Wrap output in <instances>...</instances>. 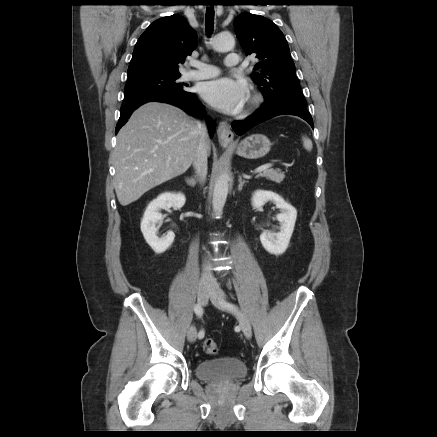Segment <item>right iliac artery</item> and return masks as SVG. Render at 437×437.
<instances>
[{"mask_svg":"<svg viewBox=\"0 0 437 437\" xmlns=\"http://www.w3.org/2000/svg\"><path fill=\"white\" fill-rule=\"evenodd\" d=\"M194 311L199 318L203 315V308L201 307L200 304L195 305ZM204 334H205L204 330H200L198 333V338L202 339L204 337Z\"/></svg>","mask_w":437,"mask_h":437,"instance_id":"82829eb1","label":"right iliac artery"}]
</instances>
